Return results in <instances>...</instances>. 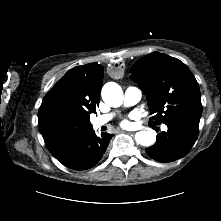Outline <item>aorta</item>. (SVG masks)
<instances>
[{
	"instance_id": "762f6f07",
	"label": "aorta",
	"mask_w": 221,
	"mask_h": 221,
	"mask_svg": "<svg viewBox=\"0 0 221 221\" xmlns=\"http://www.w3.org/2000/svg\"><path fill=\"white\" fill-rule=\"evenodd\" d=\"M101 94L103 101L108 106L119 107L123 103V91L117 83H106ZM135 140L140 145L151 146L155 141V136L150 131H139L135 134Z\"/></svg>"
}]
</instances>
